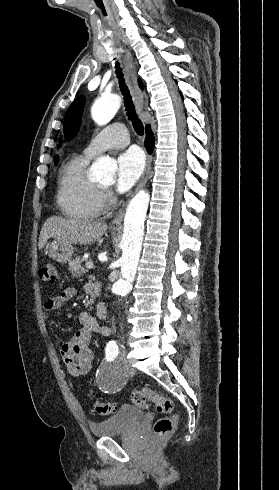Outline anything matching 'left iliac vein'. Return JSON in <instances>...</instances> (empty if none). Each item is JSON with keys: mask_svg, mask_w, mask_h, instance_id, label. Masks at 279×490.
I'll list each match as a JSON object with an SVG mask.
<instances>
[{"mask_svg": "<svg viewBox=\"0 0 279 490\" xmlns=\"http://www.w3.org/2000/svg\"><path fill=\"white\" fill-rule=\"evenodd\" d=\"M124 363H125L126 365H129V364L131 363V360H130L129 358H126V359L124 360Z\"/></svg>", "mask_w": 279, "mask_h": 490, "instance_id": "4c4485c4", "label": "left iliac vein"}]
</instances>
